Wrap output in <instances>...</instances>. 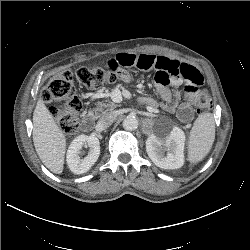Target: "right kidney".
<instances>
[{"instance_id": "right-kidney-1", "label": "right kidney", "mask_w": 250, "mask_h": 250, "mask_svg": "<svg viewBox=\"0 0 250 250\" xmlns=\"http://www.w3.org/2000/svg\"><path fill=\"white\" fill-rule=\"evenodd\" d=\"M83 146L89 147L88 155L81 159L79 154ZM100 155L99 139L95 136L84 134L77 136L70 144L67 151V165L75 174L86 173L97 161Z\"/></svg>"}]
</instances>
